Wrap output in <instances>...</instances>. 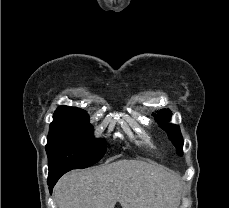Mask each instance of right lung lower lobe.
Segmentation results:
<instances>
[{"label":"right lung lower lobe","mask_w":229,"mask_h":208,"mask_svg":"<svg viewBox=\"0 0 229 208\" xmlns=\"http://www.w3.org/2000/svg\"><path fill=\"white\" fill-rule=\"evenodd\" d=\"M71 169H66V170H62L58 173H55V174H49L48 176V185H49V190H50V193H52V189L54 187V185L56 184V182L58 181V179L63 175L65 174L66 172L70 171Z\"/></svg>","instance_id":"right-lung-lower-lobe-1"}]
</instances>
